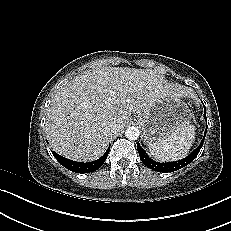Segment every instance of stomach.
<instances>
[{
  "label": "stomach",
  "instance_id": "obj_1",
  "mask_svg": "<svg viewBox=\"0 0 231 231\" xmlns=\"http://www.w3.org/2000/svg\"><path fill=\"white\" fill-rule=\"evenodd\" d=\"M192 113L188 105L177 97H166L156 102L149 110L139 116L147 145L167 138L178 128L188 125Z\"/></svg>",
  "mask_w": 231,
  "mask_h": 231
}]
</instances>
